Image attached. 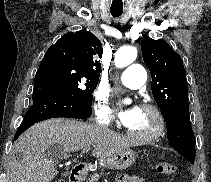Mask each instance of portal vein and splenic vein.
<instances>
[{"label":"portal vein and splenic vein","instance_id":"portal-vein-and-splenic-vein-1","mask_svg":"<svg viewBox=\"0 0 211 182\" xmlns=\"http://www.w3.org/2000/svg\"><path fill=\"white\" fill-rule=\"evenodd\" d=\"M90 149H91V147H86V148L83 149L82 152H83V153H86V152H88ZM65 157H67V156H65Z\"/></svg>","mask_w":211,"mask_h":182}]
</instances>
